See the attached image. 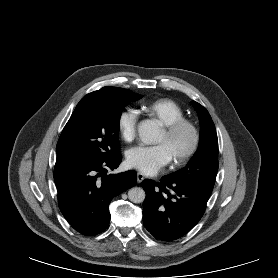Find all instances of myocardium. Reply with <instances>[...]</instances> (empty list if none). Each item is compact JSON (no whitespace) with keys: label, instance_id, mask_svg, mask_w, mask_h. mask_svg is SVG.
<instances>
[{"label":"myocardium","instance_id":"f54148a6","mask_svg":"<svg viewBox=\"0 0 278 278\" xmlns=\"http://www.w3.org/2000/svg\"><path fill=\"white\" fill-rule=\"evenodd\" d=\"M182 131L189 132L191 141L186 150L171 159L172 163L175 165H181L187 162L197 152L201 141V135L198 127L191 120L185 118L177 120L174 123L165 126L163 129V133L167 139L174 138Z\"/></svg>","mask_w":278,"mask_h":278}]
</instances>
